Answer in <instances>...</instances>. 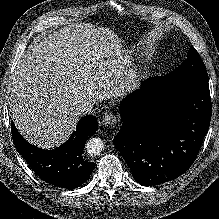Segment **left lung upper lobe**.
I'll return each mask as SVG.
<instances>
[{"label": "left lung upper lobe", "mask_w": 219, "mask_h": 219, "mask_svg": "<svg viewBox=\"0 0 219 219\" xmlns=\"http://www.w3.org/2000/svg\"><path fill=\"white\" fill-rule=\"evenodd\" d=\"M189 78L208 80L205 65L193 46L189 49L187 59L180 66L164 77H153V80L157 82H171Z\"/></svg>", "instance_id": "1"}]
</instances>
